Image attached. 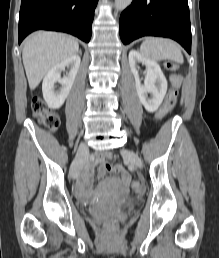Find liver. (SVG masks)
<instances>
[{
    "label": "liver",
    "mask_w": 219,
    "mask_h": 258,
    "mask_svg": "<svg viewBox=\"0 0 219 258\" xmlns=\"http://www.w3.org/2000/svg\"><path fill=\"white\" fill-rule=\"evenodd\" d=\"M78 50L77 40L61 33L39 31L29 36L22 59L30 89L34 90L49 70Z\"/></svg>",
    "instance_id": "liver-1"
}]
</instances>
